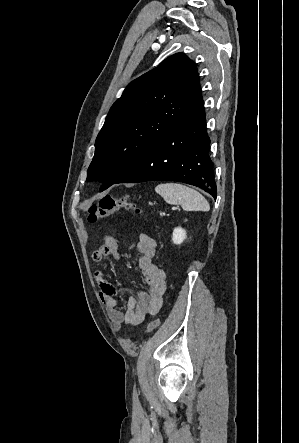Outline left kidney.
I'll use <instances>...</instances> for the list:
<instances>
[{"label": "left kidney", "mask_w": 299, "mask_h": 443, "mask_svg": "<svg viewBox=\"0 0 299 443\" xmlns=\"http://www.w3.org/2000/svg\"><path fill=\"white\" fill-rule=\"evenodd\" d=\"M186 237V231L183 228L178 227L174 229L172 237L174 244H181L186 239Z\"/></svg>", "instance_id": "left-kidney-1"}]
</instances>
